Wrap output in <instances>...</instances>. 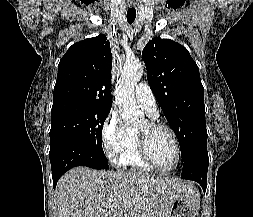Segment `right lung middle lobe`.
<instances>
[{
  "instance_id": "dd1d6c3e",
  "label": "right lung middle lobe",
  "mask_w": 253,
  "mask_h": 217,
  "mask_svg": "<svg viewBox=\"0 0 253 217\" xmlns=\"http://www.w3.org/2000/svg\"><path fill=\"white\" fill-rule=\"evenodd\" d=\"M110 110L109 105L81 101L53 104L51 146L63 141H80L108 162L103 152L101 134Z\"/></svg>"
}]
</instances>
